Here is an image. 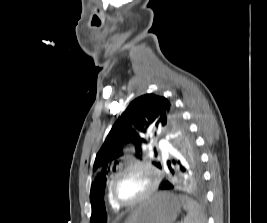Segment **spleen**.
<instances>
[{"label": "spleen", "instance_id": "spleen-1", "mask_svg": "<svg viewBox=\"0 0 267 223\" xmlns=\"http://www.w3.org/2000/svg\"><path fill=\"white\" fill-rule=\"evenodd\" d=\"M184 209L188 212L183 223H205L206 217L201 206L185 195L179 196Z\"/></svg>", "mask_w": 267, "mask_h": 223}]
</instances>
